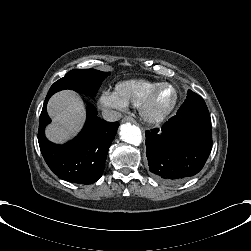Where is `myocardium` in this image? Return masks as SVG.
<instances>
[{"label":"myocardium","instance_id":"obj_1","mask_svg":"<svg viewBox=\"0 0 251 251\" xmlns=\"http://www.w3.org/2000/svg\"><path fill=\"white\" fill-rule=\"evenodd\" d=\"M167 83H171L172 85H174L177 92V99L170 108L164 111L155 112L152 109L155 95L157 91L159 90V88L162 85L167 84ZM182 98H183V92L181 88L175 83V81L171 79L163 78L159 80L157 83H155V85H153L151 89L149 90V92L147 93L145 99L139 106L140 115L145 121L149 123L162 122L163 120H165L167 117H169L173 112H175L178 109V107L180 106L182 102Z\"/></svg>","mask_w":251,"mask_h":251}]
</instances>
